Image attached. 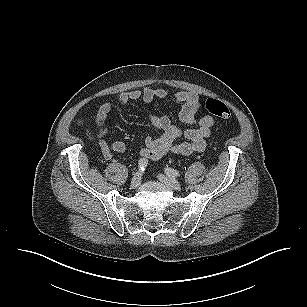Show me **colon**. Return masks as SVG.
Listing matches in <instances>:
<instances>
[{
	"label": "colon",
	"mask_w": 307,
	"mask_h": 307,
	"mask_svg": "<svg viewBox=\"0 0 307 307\" xmlns=\"http://www.w3.org/2000/svg\"><path fill=\"white\" fill-rule=\"evenodd\" d=\"M205 109L211 115L221 119H229L231 114L228 107L220 100L210 98L205 102Z\"/></svg>",
	"instance_id": "colon-1"
}]
</instances>
